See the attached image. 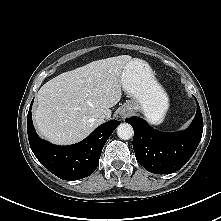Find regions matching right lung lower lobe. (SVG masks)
I'll return each instance as SVG.
<instances>
[{"label":"right lung lower lobe","instance_id":"1","mask_svg":"<svg viewBox=\"0 0 221 221\" xmlns=\"http://www.w3.org/2000/svg\"><path fill=\"white\" fill-rule=\"evenodd\" d=\"M32 103L33 101L31 105ZM119 124L120 121H108L74 145H53L40 139L35 132L30 106L27 116V133L30 147L44 167L63 180H78L91 175L96 170L102 148Z\"/></svg>","mask_w":221,"mask_h":221}]
</instances>
